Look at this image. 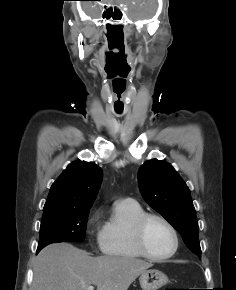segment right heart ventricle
Masks as SVG:
<instances>
[{
  "mask_svg": "<svg viewBox=\"0 0 236 290\" xmlns=\"http://www.w3.org/2000/svg\"><path fill=\"white\" fill-rule=\"evenodd\" d=\"M144 213L142 206L134 200L118 201L113 216L105 223L99 234L102 253L124 259L143 257L134 241L133 224Z\"/></svg>",
  "mask_w": 236,
  "mask_h": 290,
  "instance_id": "obj_1",
  "label": "right heart ventricle"
}]
</instances>
